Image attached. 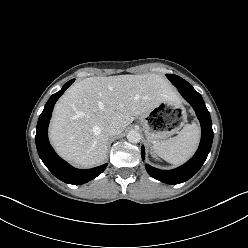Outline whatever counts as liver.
Instances as JSON below:
<instances>
[{
    "instance_id": "6515ba94",
    "label": "liver",
    "mask_w": 248,
    "mask_h": 248,
    "mask_svg": "<svg viewBox=\"0 0 248 248\" xmlns=\"http://www.w3.org/2000/svg\"><path fill=\"white\" fill-rule=\"evenodd\" d=\"M176 100L169 81L158 74L89 77L72 85L55 105L50 140L67 161L93 167L106 159L108 123L116 122L123 131L136 116Z\"/></svg>"
}]
</instances>
